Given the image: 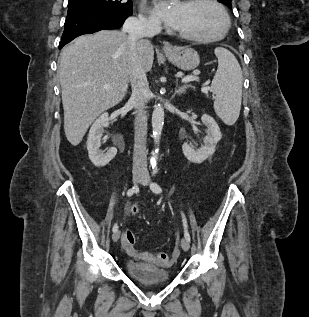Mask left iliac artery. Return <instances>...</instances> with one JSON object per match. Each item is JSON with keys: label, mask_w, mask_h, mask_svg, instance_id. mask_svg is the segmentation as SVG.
Here are the masks:
<instances>
[{"label": "left iliac artery", "mask_w": 309, "mask_h": 317, "mask_svg": "<svg viewBox=\"0 0 309 317\" xmlns=\"http://www.w3.org/2000/svg\"><path fill=\"white\" fill-rule=\"evenodd\" d=\"M157 172H158V168L156 165H154L152 175L155 176L157 174ZM150 188L156 194L162 193L161 187L155 182L151 183ZM182 222H183V226H184V236L187 239V241L190 242L191 238H190V234L188 232L187 220H186V217L183 213H182Z\"/></svg>", "instance_id": "left-iliac-artery-1"}]
</instances>
